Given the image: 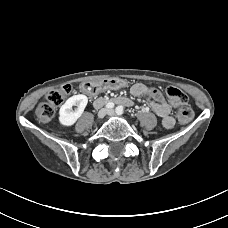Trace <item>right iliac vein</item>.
Segmentation results:
<instances>
[{
    "instance_id": "63e3f726",
    "label": "right iliac vein",
    "mask_w": 228,
    "mask_h": 228,
    "mask_svg": "<svg viewBox=\"0 0 228 228\" xmlns=\"http://www.w3.org/2000/svg\"><path fill=\"white\" fill-rule=\"evenodd\" d=\"M107 112H108L107 109H105V108L101 109V110L98 112V118H99V119L104 118V117L106 116Z\"/></svg>"
}]
</instances>
